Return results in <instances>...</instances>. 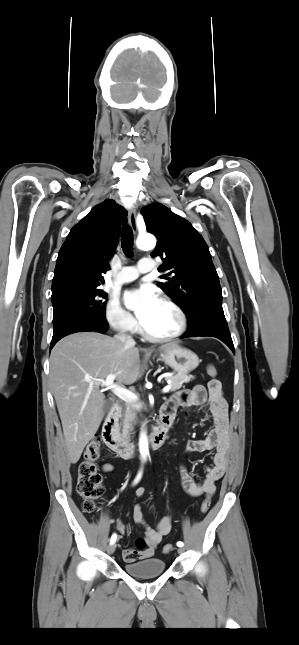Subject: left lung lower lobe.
<instances>
[{
  "label": "left lung lower lobe",
  "instance_id": "0a47b994",
  "mask_svg": "<svg viewBox=\"0 0 299 645\" xmlns=\"http://www.w3.org/2000/svg\"><path fill=\"white\" fill-rule=\"evenodd\" d=\"M212 336L220 339L234 352L231 335L224 316L222 303H214L207 309V320L199 331H187L182 338Z\"/></svg>",
  "mask_w": 299,
  "mask_h": 645
}]
</instances>
